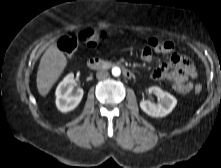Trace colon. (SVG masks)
Listing matches in <instances>:
<instances>
[{
	"mask_svg": "<svg viewBox=\"0 0 221 168\" xmlns=\"http://www.w3.org/2000/svg\"><path fill=\"white\" fill-rule=\"evenodd\" d=\"M106 37V33L103 31L96 30H84L77 36H63L58 40L59 49L66 55H72L78 47L79 42L86 44L87 46L93 47L100 43ZM148 45L157 52H164L169 49V44L157 39H150ZM179 55V54H173ZM172 55V56H173ZM171 56V57H172ZM195 93L199 94L202 91L201 85L194 87Z\"/></svg>",
	"mask_w": 221,
	"mask_h": 168,
	"instance_id": "obj_1",
	"label": "colon"
}]
</instances>
